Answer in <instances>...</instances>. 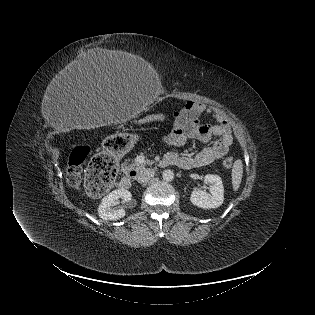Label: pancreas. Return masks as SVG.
<instances>
[{
  "instance_id": "cf45deb5",
  "label": "pancreas",
  "mask_w": 315,
  "mask_h": 315,
  "mask_svg": "<svg viewBox=\"0 0 315 315\" xmlns=\"http://www.w3.org/2000/svg\"><path fill=\"white\" fill-rule=\"evenodd\" d=\"M146 164H149V161H147L146 163L144 164H140L138 163L136 160L128 166V169L127 170H136V171H139L141 169H143L145 167Z\"/></svg>"
}]
</instances>
